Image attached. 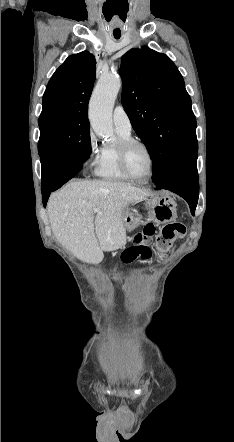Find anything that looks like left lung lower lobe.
Masks as SVG:
<instances>
[{"label":"left lung lower lobe","mask_w":234,"mask_h":442,"mask_svg":"<svg viewBox=\"0 0 234 442\" xmlns=\"http://www.w3.org/2000/svg\"><path fill=\"white\" fill-rule=\"evenodd\" d=\"M197 155L196 140L182 152L166 177L155 184L156 189H167L182 196L190 205L192 214L195 212L199 195Z\"/></svg>","instance_id":"1"}]
</instances>
